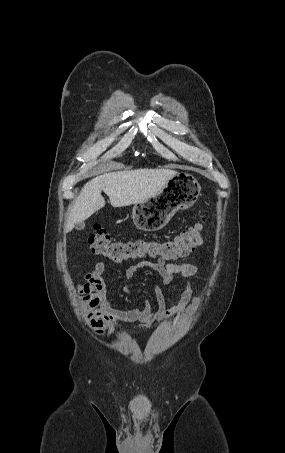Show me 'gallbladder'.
Wrapping results in <instances>:
<instances>
[{"label": "gallbladder", "mask_w": 285, "mask_h": 453, "mask_svg": "<svg viewBox=\"0 0 285 453\" xmlns=\"http://www.w3.org/2000/svg\"><path fill=\"white\" fill-rule=\"evenodd\" d=\"M75 228L77 230H82V229L85 228V223L84 222H78V223L75 224Z\"/></svg>", "instance_id": "obj_1"}]
</instances>
